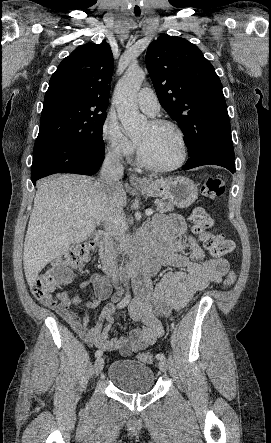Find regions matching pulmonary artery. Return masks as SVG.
<instances>
[{
  "label": "pulmonary artery",
  "instance_id": "e3ab8cb5",
  "mask_svg": "<svg viewBox=\"0 0 271 443\" xmlns=\"http://www.w3.org/2000/svg\"><path fill=\"white\" fill-rule=\"evenodd\" d=\"M136 102L139 108L148 115H154L160 109L158 99L151 88L141 89L137 94Z\"/></svg>",
  "mask_w": 271,
  "mask_h": 443
}]
</instances>
